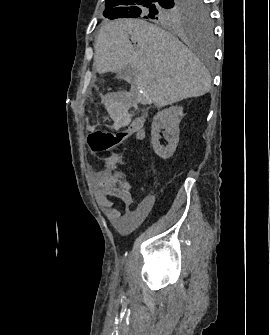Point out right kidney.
I'll return each instance as SVG.
<instances>
[{
  "mask_svg": "<svg viewBox=\"0 0 270 335\" xmlns=\"http://www.w3.org/2000/svg\"><path fill=\"white\" fill-rule=\"evenodd\" d=\"M183 108L181 106H171V108H166V110H161L157 112L156 116L153 118L152 130H151V144L153 146L154 152L157 156L167 160L173 156L177 144L179 142V124L182 120ZM165 130L164 136H171L168 146H160L159 142V132Z\"/></svg>",
  "mask_w": 270,
  "mask_h": 335,
  "instance_id": "right-kidney-1",
  "label": "right kidney"
}]
</instances>
